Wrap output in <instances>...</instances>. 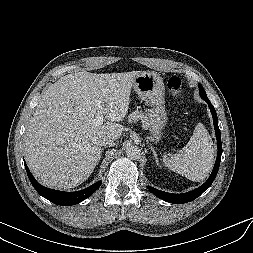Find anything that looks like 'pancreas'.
Masks as SVG:
<instances>
[{
  "instance_id": "pancreas-1",
  "label": "pancreas",
  "mask_w": 253,
  "mask_h": 253,
  "mask_svg": "<svg viewBox=\"0 0 253 253\" xmlns=\"http://www.w3.org/2000/svg\"><path fill=\"white\" fill-rule=\"evenodd\" d=\"M138 120H141L143 127L148 128V119L143 113L135 111L129 115V122H136Z\"/></svg>"
}]
</instances>
